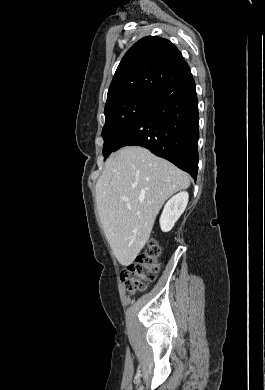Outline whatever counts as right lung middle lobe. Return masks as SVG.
<instances>
[{
    "instance_id": "dd1d6c3e",
    "label": "right lung middle lobe",
    "mask_w": 265,
    "mask_h": 390,
    "mask_svg": "<svg viewBox=\"0 0 265 390\" xmlns=\"http://www.w3.org/2000/svg\"><path fill=\"white\" fill-rule=\"evenodd\" d=\"M154 99L155 96L137 94L105 107V125L102 129L104 160L115 151L122 134Z\"/></svg>"
}]
</instances>
